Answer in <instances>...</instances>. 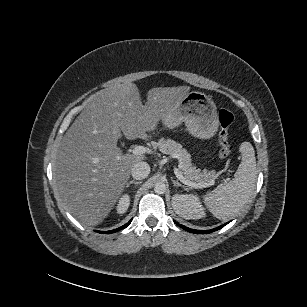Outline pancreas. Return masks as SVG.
Returning a JSON list of instances; mask_svg holds the SVG:
<instances>
[{"label": "pancreas", "mask_w": 307, "mask_h": 307, "mask_svg": "<svg viewBox=\"0 0 307 307\" xmlns=\"http://www.w3.org/2000/svg\"><path fill=\"white\" fill-rule=\"evenodd\" d=\"M157 149L164 154L171 156L177 155L183 164L181 167L183 175L190 181L199 184L204 183L205 187H208L220 178L219 173L215 170L208 171L194 167L190 160V154L179 143H176L170 138H159L157 140Z\"/></svg>", "instance_id": "1"}]
</instances>
